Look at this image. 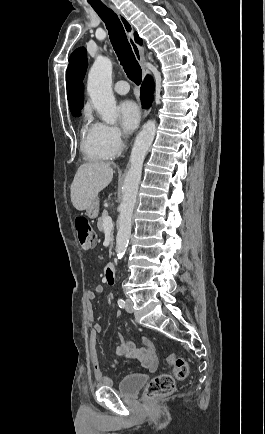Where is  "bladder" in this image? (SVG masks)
<instances>
[{
	"label": "bladder",
	"mask_w": 265,
	"mask_h": 434,
	"mask_svg": "<svg viewBox=\"0 0 265 434\" xmlns=\"http://www.w3.org/2000/svg\"><path fill=\"white\" fill-rule=\"evenodd\" d=\"M146 382L142 374L127 375L118 386V394L124 398H136Z\"/></svg>",
	"instance_id": "1"
}]
</instances>
